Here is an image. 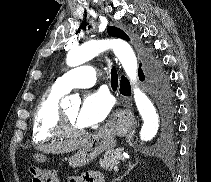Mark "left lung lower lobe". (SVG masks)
Listing matches in <instances>:
<instances>
[{"instance_id": "obj_1", "label": "left lung lower lobe", "mask_w": 211, "mask_h": 182, "mask_svg": "<svg viewBox=\"0 0 211 182\" xmlns=\"http://www.w3.org/2000/svg\"><path fill=\"white\" fill-rule=\"evenodd\" d=\"M138 73L139 79L144 81L145 75L140 67ZM147 81L148 87L154 92L159 101H166L170 96V91L167 88V77L160 71L159 63L153 60H149L147 64ZM120 93L127 96L131 95L130 83L124 76L121 77Z\"/></svg>"}]
</instances>
